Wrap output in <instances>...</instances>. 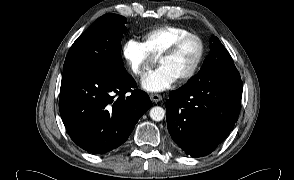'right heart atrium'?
Listing matches in <instances>:
<instances>
[{"mask_svg": "<svg viewBox=\"0 0 294 180\" xmlns=\"http://www.w3.org/2000/svg\"><path fill=\"white\" fill-rule=\"evenodd\" d=\"M121 55L127 67L137 77H142L156 62V58L151 56L142 44L134 38L124 42Z\"/></svg>", "mask_w": 294, "mask_h": 180, "instance_id": "obj_1", "label": "right heart atrium"}]
</instances>
